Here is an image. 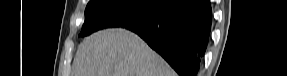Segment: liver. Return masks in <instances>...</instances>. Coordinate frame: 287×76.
<instances>
[{"label": "liver", "instance_id": "obj_1", "mask_svg": "<svg viewBox=\"0 0 287 76\" xmlns=\"http://www.w3.org/2000/svg\"><path fill=\"white\" fill-rule=\"evenodd\" d=\"M73 76H176L138 35L115 28L96 32L79 45Z\"/></svg>", "mask_w": 287, "mask_h": 76}]
</instances>
